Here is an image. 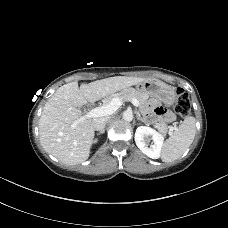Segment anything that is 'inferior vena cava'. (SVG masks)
<instances>
[{
  "label": "inferior vena cava",
  "mask_w": 228,
  "mask_h": 228,
  "mask_svg": "<svg viewBox=\"0 0 228 228\" xmlns=\"http://www.w3.org/2000/svg\"><path fill=\"white\" fill-rule=\"evenodd\" d=\"M109 119H110V117H101V118L94 119L93 123H92L93 128L96 131H102L105 128V125Z\"/></svg>",
  "instance_id": "602c4592"
}]
</instances>
